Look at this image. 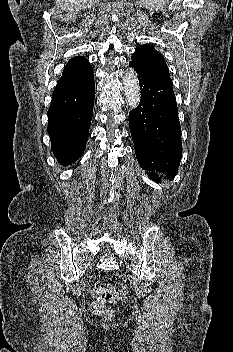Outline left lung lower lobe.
<instances>
[{"label": "left lung lower lobe", "mask_w": 233, "mask_h": 352, "mask_svg": "<svg viewBox=\"0 0 233 352\" xmlns=\"http://www.w3.org/2000/svg\"><path fill=\"white\" fill-rule=\"evenodd\" d=\"M141 90L139 105L129 113V126L138 163L153 180L156 172L170 180L182 157L181 129L173 85L145 72L132 61Z\"/></svg>", "instance_id": "obj_1"}]
</instances>
